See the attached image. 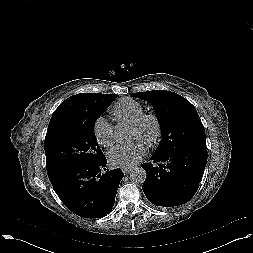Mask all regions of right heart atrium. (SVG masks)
I'll return each mask as SVG.
<instances>
[{
    "label": "right heart atrium",
    "instance_id": "d8ad5b80",
    "mask_svg": "<svg viewBox=\"0 0 253 253\" xmlns=\"http://www.w3.org/2000/svg\"><path fill=\"white\" fill-rule=\"evenodd\" d=\"M94 137L97 143L103 147H109L114 142V128L104 117H98L93 127Z\"/></svg>",
    "mask_w": 253,
    "mask_h": 253
}]
</instances>
